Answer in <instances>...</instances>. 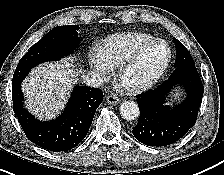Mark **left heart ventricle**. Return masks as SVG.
Instances as JSON below:
<instances>
[{
  "label": "left heart ventricle",
  "mask_w": 224,
  "mask_h": 175,
  "mask_svg": "<svg viewBox=\"0 0 224 175\" xmlns=\"http://www.w3.org/2000/svg\"><path fill=\"white\" fill-rule=\"evenodd\" d=\"M167 56L166 46L156 44L147 49L140 59L124 75L123 83L132 85L150 78L163 64Z\"/></svg>",
  "instance_id": "obj_1"
}]
</instances>
